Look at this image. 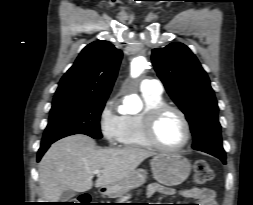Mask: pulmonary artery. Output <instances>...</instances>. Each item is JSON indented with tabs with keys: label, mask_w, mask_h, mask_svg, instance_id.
<instances>
[{
	"label": "pulmonary artery",
	"mask_w": 253,
	"mask_h": 205,
	"mask_svg": "<svg viewBox=\"0 0 253 205\" xmlns=\"http://www.w3.org/2000/svg\"><path fill=\"white\" fill-rule=\"evenodd\" d=\"M140 91L160 95L163 92V85L157 79H144L140 84Z\"/></svg>",
	"instance_id": "obj_1"
}]
</instances>
